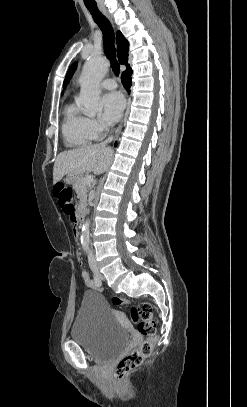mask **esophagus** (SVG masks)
<instances>
[{"label":"esophagus","instance_id":"esophagus-1","mask_svg":"<svg viewBox=\"0 0 247 407\" xmlns=\"http://www.w3.org/2000/svg\"><path fill=\"white\" fill-rule=\"evenodd\" d=\"M100 10L102 11V13H103L108 19H110V16L108 15L107 11H106L104 8L101 7ZM129 102H130V99H128L127 106L129 105ZM125 118H126V113H125V115H124V117H123V119H122V121H121L120 126L118 127V129H117V131H116V135H117V133L119 132V130H120V128H121V126H122V124H123Z\"/></svg>","mask_w":247,"mask_h":407}]
</instances>
